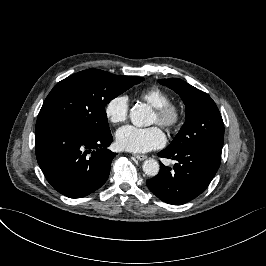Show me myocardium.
<instances>
[{
  "label": "myocardium",
  "mask_w": 266,
  "mask_h": 266,
  "mask_svg": "<svg viewBox=\"0 0 266 266\" xmlns=\"http://www.w3.org/2000/svg\"><path fill=\"white\" fill-rule=\"evenodd\" d=\"M155 114L158 117L157 122L168 130L178 128L184 119V112L181 106L172 102L155 108Z\"/></svg>",
  "instance_id": "f54148a6"
}]
</instances>
